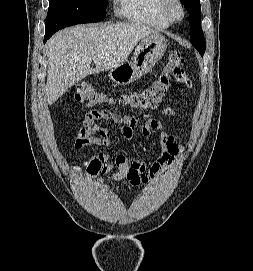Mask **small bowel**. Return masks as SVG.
Segmentation results:
<instances>
[{
    "mask_svg": "<svg viewBox=\"0 0 253 271\" xmlns=\"http://www.w3.org/2000/svg\"><path fill=\"white\" fill-rule=\"evenodd\" d=\"M161 114L174 116V111L166 107ZM103 120H110L128 141L132 140L137 133L157 137L162 150L161 156L150 166L142 160L130 158L124 154H118L112 163L102 153V150L111 143L107 129L99 125ZM92 144L97 146L98 151L85 157L82 163L75 164L73 169L80 171L84 168L87 175L94 179L99 174L109 173L116 166L117 171L111 175V179L125 182L127 188L138 186L144 181L163 174L176 162L182 152V145L176 135L170 132L158 117H149L141 122L135 116L120 113L88 112L85 114L74 148L81 150Z\"/></svg>",
    "mask_w": 253,
    "mask_h": 271,
    "instance_id": "1",
    "label": "small bowel"
}]
</instances>
